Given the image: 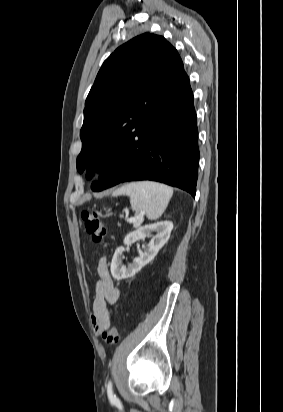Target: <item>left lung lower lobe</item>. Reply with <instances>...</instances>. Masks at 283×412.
<instances>
[{"label": "left lung lower lobe", "instance_id": "obj_1", "mask_svg": "<svg viewBox=\"0 0 283 412\" xmlns=\"http://www.w3.org/2000/svg\"><path fill=\"white\" fill-rule=\"evenodd\" d=\"M198 129L189 78L157 118L139 146L113 152L92 190L126 181L152 180L196 194Z\"/></svg>", "mask_w": 283, "mask_h": 412}]
</instances>
